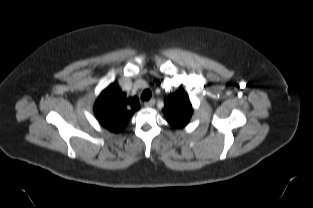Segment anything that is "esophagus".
Listing matches in <instances>:
<instances>
[{"mask_svg": "<svg viewBox=\"0 0 313 208\" xmlns=\"http://www.w3.org/2000/svg\"><path fill=\"white\" fill-rule=\"evenodd\" d=\"M155 99H151V100H149V101H146L145 103H144V105L146 106V107H148V108H150V107H152V106H154L155 105Z\"/></svg>", "mask_w": 313, "mask_h": 208, "instance_id": "34e87169", "label": "esophagus"}]
</instances>
